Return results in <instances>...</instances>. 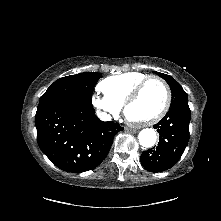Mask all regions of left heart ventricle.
Returning a JSON list of instances; mask_svg holds the SVG:
<instances>
[{
    "instance_id": "left-heart-ventricle-1",
    "label": "left heart ventricle",
    "mask_w": 221,
    "mask_h": 221,
    "mask_svg": "<svg viewBox=\"0 0 221 221\" xmlns=\"http://www.w3.org/2000/svg\"><path fill=\"white\" fill-rule=\"evenodd\" d=\"M165 102V90L158 81H150L143 88L137 100L129 108L134 120H146L156 115Z\"/></svg>"
}]
</instances>
